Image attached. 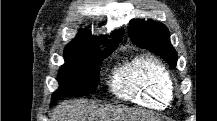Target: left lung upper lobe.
I'll return each mask as SVG.
<instances>
[{
	"label": "left lung upper lobe",
	"instance_id": "1",
	"mask_svg": "<svg viewBox=\"0 0 217 121\" xmlns=\"http://www.w3.org/2000/svg\"><path fill=\"white\" fill-rule=\"evenodd\" d=\"M129 37L137 46L154 52L171 67H176L177 53L170 42L169 31L164 24L151 20L133 21L129 29Z\"/></svg>",
	"mask_w": 217,
	"mask_h": 121
}]
</instances>
